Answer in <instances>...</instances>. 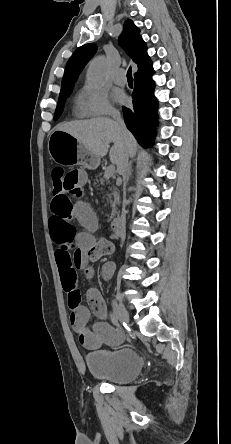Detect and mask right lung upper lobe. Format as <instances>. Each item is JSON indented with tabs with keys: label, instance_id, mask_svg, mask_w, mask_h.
Segmentation results:
<instances>
[{
	"label": "right lung upper lobe",
	"instance_id": "1",
	"mask_svg": "<svg viewBox=\"0 0 231 444\" xmlns=\"http://www.w3.org/2000/svg\"><path fill=\"white\" fill-rule=\"evenodd\" d=\"M139 33L140 30L134 23L131 20H127L124 23V31L119 38V42L125 46L128 55L138 66V71L135 75L151 67L149 64L150 57L144 50L146 49V44L139 36ZM96 50L97 46L94 43L85 44L75 50L67 62L60 93L73 89L74 82Z\"/></svg>",
	"mask_w": 231,
	"mask_h": 444
}]
</instances>
